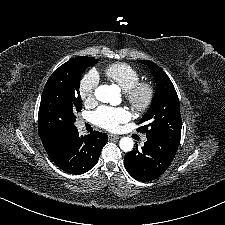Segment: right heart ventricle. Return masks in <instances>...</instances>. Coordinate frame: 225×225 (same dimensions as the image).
<instances>
[{"label": "right heart ventricle", "instance_id": "obj_1", "mask_svg": "<svg viewBox=\"0 0 225 225\" xmlns=\"http://www.w3.org/2000/svg\"><path fill=\"white\" fill-rule=\"evenodd\" d=\"M104 74L124 92L141 79L140 72L130 64L118 62L104 69Z\"/></svg>", "mask_w": 225, "mask_h": 225}]
</instances>
